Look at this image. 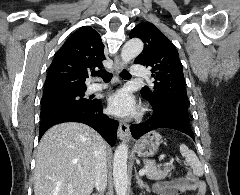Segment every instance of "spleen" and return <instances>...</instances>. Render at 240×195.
<instances>
[{
    "label": "spleen",
    "mask_w": 240,
    "mask_h": 195,
    "mask_svg": "<svg viewBox=\"0 0 240 195\" xmlns=\"http://www.w3.org/2000/svg\"><path fill=\"white\" fill-rule=\"evenodd\" d=\"M180 153L185 157V161H187L188 165H190L191 169H193L194 175H203V167L201 161H199L195 151L189 149L185 143H181L180 145Z\"/></svg>",
    "instance_id": "1"
}]
</instances>
